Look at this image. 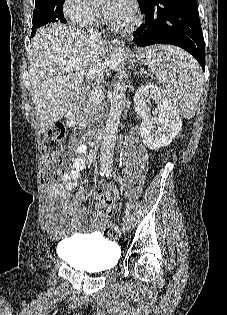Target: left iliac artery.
<instances>
[{
    "label": "left iliac artery",
    "mask_w": 227,
    "mask_h": 315,
    "mask_svg": "<svg viewBox=\"0 0 227 315\" xmlns=\"http://www.w3.org/2000/svg\"><path fill=\"white\" fill-rule=\"evenodd\" d=\"M106 176L107 177L111 176V171H107ZM131 209H132V204L128 202L126 205V210H125V219L130 216Z\"/></svg>",
    "instance_id": "obj_1"
}]
</instances>
